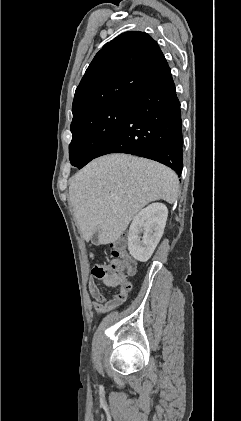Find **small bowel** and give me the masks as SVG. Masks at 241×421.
Here are the masks:
<instances>
[{
  "mask_svg": "<svg viewBox=\"0 0 241 421\" xmlns=\"http://www.w3.org/2000/svg\"><path fill=\"white\" fill-rule=\"evenodd\" d=\"M90 257L94 258V255L91 254ZM103 283L106 286L116 287L108 282ZM88 289L91 296L94 298V302L91 303L92 308L96 313L101 314L122 305L126 301L131 290V283L129 282L125 286H118L117 293L110 297L103 295L98 285L92 278L88 280Z\"/></svg>",
  "mask_w": 241,
  "mask_h": 421,
  "instance_id": "small-bowel-1",
  "label": "small bowel"
}]
</instances>
